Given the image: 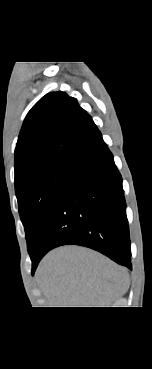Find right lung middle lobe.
Listing matches in <instances>:
<instances>
[{
  "mask_svg": "<svg viewBox=\"0 0 152 369\" xmlns=\"http://www.w3.org/2000/svg\"><path fill=\"white\" fill-rule=\"evenodd\" d=\"M73 163L55 162L27 173L15 184L30 257Z\"/></svg>",
  "mask_w": 152,
  "mask_h": 369,
  "instance_id": "dd1d6c3e",
  "label": "right lung middle lobe"
}]
</instances>
